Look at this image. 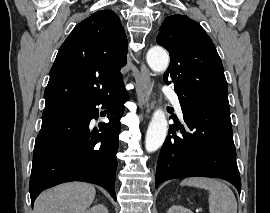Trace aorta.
<instances>
[{"label": "aorta", "instance_id": "obj_1", "mask_svg": "<svg viewBox=\"0 0 270 213\" xmlns=\"http://www.w3.org/2000/svg\"><path fill=\"white\" fill-rule=\"evenodd\" d=\"M147 63L154 72L162 73L168 67L169 55L165 49L153 47L147 53ZM167 130L166 115L162 109H157L153 113L146 133L145 149L147 152H154L162 146Z\"/></svg>", "mask_w": 270, "mask_h": 213}]
</instances>
